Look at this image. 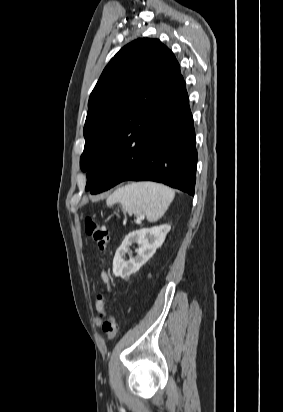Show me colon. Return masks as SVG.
Wrapping results in <instances>:
<instances>
[{"mask_svg": "<svg viewBox=\"0 0 283 412\" xmlns=\"http://www.w3.org/2000/svg\"><path fill=\"white\" fill-rule=\"evenodd\" d=\"M85 231L88 236L96 243L99 252L103 255L108 249L111 238L108 230L101 226L98 221L92 215H87L85 217ZM100 264H103V261H100ZM97 301L104 302L105 296L104 293H99L97 295ZM101 315L105 318L102 324V330L108 339H114L118 333V324L115 317L107 310L103 311Z\"/></svg>", "mask_w": 283, "mask_h": 412, "instance_id": "5ec220e1", "label": "colon"}]
</instances>
